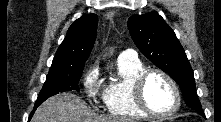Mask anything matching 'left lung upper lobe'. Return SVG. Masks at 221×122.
Segmentation results:
<instances>
[{"label": "left lung upper lobe", "instance_id": "1", "mask_svg": "<svg viewBox=\"0 0 221 122\" xmlns=\"http://www.w3.org/2000/svg\"><path fill=\"white\" fill-rule=\"evenodd\" d=\"M128 27L140 51L180 86L187 106L203 112L185 51L163 18L156 12L134 15L129 18Z\"/></svg>", "mask_w": 221, "mask_h": 122}]
</instances>
